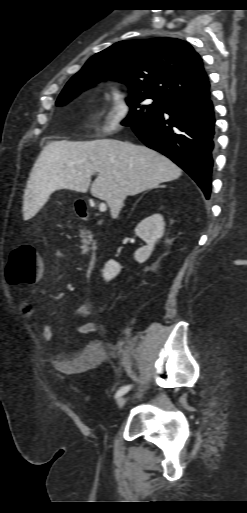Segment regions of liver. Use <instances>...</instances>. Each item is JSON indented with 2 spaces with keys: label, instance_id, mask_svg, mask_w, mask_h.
<instances>
[{
  "label": "liver",
  "instance_id": "obj_1",
  "mask_svg": "<svg viewBox=\"0 0 247 513\" xmlns=\"http://www.w3.org/2000/svg\"><path fill=\"white\" fill-rule=\"evenodd\" d=\"M91 194L105 200L113 219L127 196L178 179L182 170L166 156L146 146L112 139L55 141L38 156L24 192L23 214L35 215L56 190Z\"/></svg>",
  "mask_w": 247,
  "mask_h": 513
}]
</instances>
